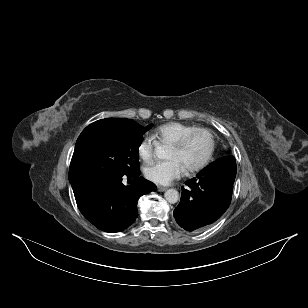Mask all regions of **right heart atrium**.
<instances>
[{
	"instance_id": "obj_1",
	"label": "right heart atrium",
	"mask_w": 308,
	"mask_h": 308,
	"mask_svg": "<svg viewBox=\"0 0 308 308\" xmlns=\"http://www.w3.org/2000/svg\"><path fill=\"white\" fill-rule=\"evenodd\" d=\"M157 148L156 141L151 136H144L137 146V153L144 163L153 161Z\"/></svg>"
}]
</instances>
